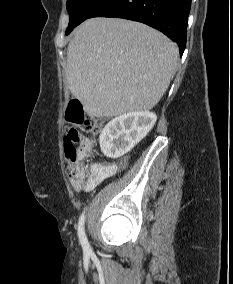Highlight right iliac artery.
<instances>
[{
    "label": "right iliac artery",
    "mask_w": 233,
    "mask_h": 284,
    "mask_svg": "<svg viewBox=\"0 0 233 284\" xmlns=\"http://www.w3.org/2000/svg\"><path fill=\"white\" fill-rule=\"evenodd\" d=\"M84 222H85V213L83 212L78 222V236L83 249L85 251H89L90 247L85 235Z\"/></svg>",
    "instance_id": "right-iliac-artery-1"
}]
</instances>
